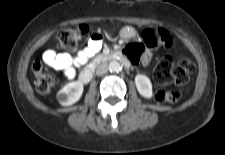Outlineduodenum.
Returning a JSON list of instances; mask_svg holds the SVG:
<instances>
[{"instance_id":"410a0bca","label":"duodenum","mask_w":225,"mask_h":155,"mask_svg":"<svg viewBox=\"0 0 225 155\" xmlns=\"http://www.w3.org/2000/svg\"><path fill=\"white\" fill-rule=\"evenodd\" d=\"M109 61H120L126 67L130 66L129 60L120 52H111L98 56L90 65H88L79 75V79L83 83H88L92 77L94 70L97 66L109 62Z\"/></svg>"}]
</instances>
